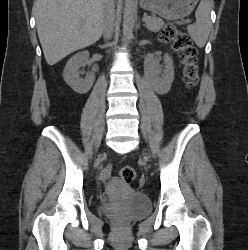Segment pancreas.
I'll return each mask as SVG.
<instances>
[{"mask_svg": "<svg viewBox=\"0 0 248 250\" xmlns=\"http://www.w3.org/2000/svg\"><path fill=\"white\" fill-rule=\"evenodd\" d=\"M145 26L152 32H158L160 29L165 27L164 21L161 18L155 16H148Z\"/></svg>", "mask_w": 248, "mask_h": 250, "instance_id": "cf45deb5", "label": "pancreas"}]
</instances>
